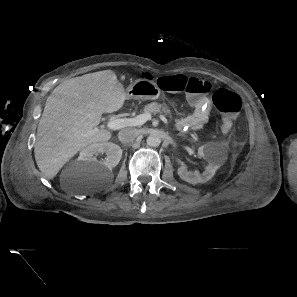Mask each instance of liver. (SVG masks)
<instances>
[{"mask_svg":"<svg viewBox=\"0 0 297 297\" xmlns=\"http://www.w3.org/2000/svg\"><path fill=\"white\" fill-rule=\"evenodd\" d=\"M124 87L112 70L69 79L47 98L34 144L36 164L47 179L89 144L108 141L112 133L99 129L103 113L123 107Z\"/></svg>","mask_w":297,"mask_h":297,"instance_id":"obj_1","label":"liver"}]
</instances>
